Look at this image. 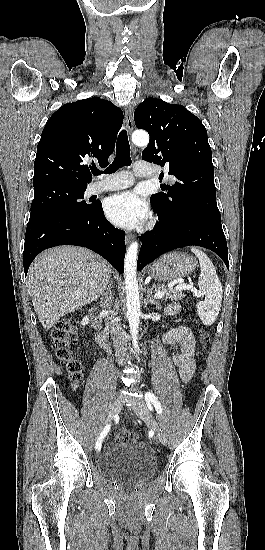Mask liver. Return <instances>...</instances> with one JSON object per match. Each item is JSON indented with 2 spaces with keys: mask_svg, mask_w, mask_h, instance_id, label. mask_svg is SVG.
I'll return each instance as SVG.
<instances>
[{
  "mask_svg": "<svg viewBox=\"0 0 265 550\" xmlns=\"http://www.w3.org/2000/svg\"><path fill=\"white\" fill-rule=\"evenodd\" d=\"M111 266L96 253L76 246H58L41 253L28 271V290L45 329L93 301L110 282Z\"/></svg>",
  "mask_w": 265,
  "mask_h": 550,
  "instance_id": "1",
  "label": "liver"
}]
</instances>
